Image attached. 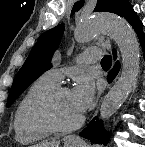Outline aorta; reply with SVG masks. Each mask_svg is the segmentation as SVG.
<instances>
[{"mask_svg":"<svg viewBox=\"0 0 145 147\" xmlns=\"http://www.w3.org/2000/svg\"><path fill=\"white\" fill-rule=\"evenodd\" d=\"M100 32H107L114 39L122 56L121 76L100 107L99 118L105 120L121 107L135 85L139 73L140 50L133 28L125 19L113 14H100L82 21L75 29V36L79 41L86 42Z\"/></svg>","mask_w":145,"mask_h":147,"instance_id":"aorta-1","label":"aorta"}]
</instances>
